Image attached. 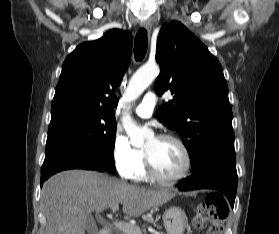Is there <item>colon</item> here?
Segmentation results:
<instances>
[{"label": "colon", "mask_w": 279, "mask_h": 234, "mask_svg": "<svg viewBox=\"0 0 279 234\" xmlns=\"http://www.w3.org/2000/svg\"><path fill=\"white\" fill-rule=\"evenodd\" d=\"M228 210V203L222 195H209L197 206L193 226L204 228L205 234H224Z\"/></svg>", "instance_id": "obj_1"}]
</instances>
